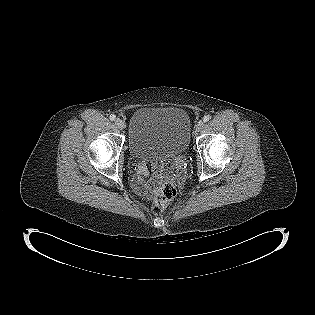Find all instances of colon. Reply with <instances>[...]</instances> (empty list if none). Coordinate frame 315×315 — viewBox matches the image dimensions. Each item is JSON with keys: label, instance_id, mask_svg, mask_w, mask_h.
<instances>
[{"label": "colon", "instance_id": "colon-1", "mask_svg": "<svg viewBox=\"0 0 315 315\" xmlns=\"http://www.w3.org/2000/svg\"><path fill=\"white\" fill-rule=\"evenodd\" d=\"M179 186L180 182L175 178L174 175L165 176L154 195L152 205L154 214L160 215L166 209L168 203L176 195Z\"/></svg>", "mask_w": 315, "mask_h": 315}]
</instances>
